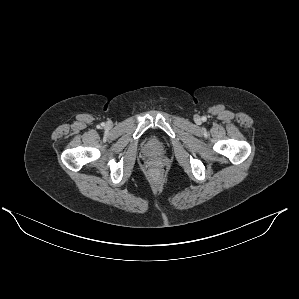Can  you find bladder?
I'll use <instances>...</instances> for the list:
<instances>
[{"mask_svg":"<svg viewBox=\"0 0 299 299\" xmlns=\"http://www.w3.org/2000/svg\"><path fill=\"white\" fill-rule=\"evenodd\" d=\"M143 147L144 152L148 156L154 157L164 155L167 150L166 144L160 138L153 134L146 137Z\"/></svg>","mask_w":299,"mask_h":299,"instance_id":"bladder-1","label":"bladder"}]
</instances>
